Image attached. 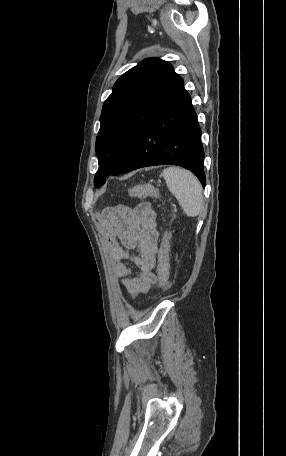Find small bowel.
Listing matches in <instances>:
<instances>
[{"label":"small bowel","instance_id":"1","mask_svg":"<svg viewBox=\"0 0 286 456\" xmlns=\"http://www.w3.org/2000/svg\"><path fill=\"white\" fill-rule=\"evenodd\" d=\"M99 221L105 232V247L112 272L121 277L127 293L136 297L147 292L155 283L153 269L157 253V215L149 203L133 208L117 206L104 211ZM136 249L137 255L129 250ZM131 260L137 274L124 263Z\"/></svg>","mask_w":286,"mask_h":456}]
</instances>
